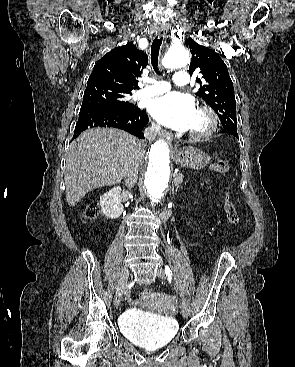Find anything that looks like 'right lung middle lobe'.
I'll use <instances>...</instances> for the list:
<instances>
[{
	"instance_id": "dd1d6c3e",
	"label": "right lung middle lobe",
	"mask_w": 295,
	"mask_h": 367,
	"mask_svg": "<svg viewBox=\"0 0 295 367\" xmlns=\"http://www.w3.org/2000/svg\"><path fill=\"white\" fill-rule=\"evenodd\" d=\"M126 97L127 94H119L106 88L86 89L80 111L95 109L136 110L137 107L129 103Z\"/></svg>"
}]
</instances>
